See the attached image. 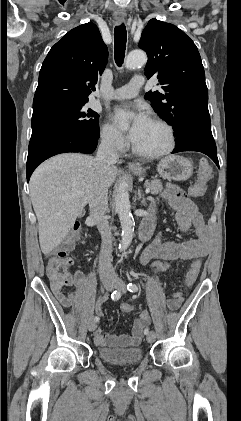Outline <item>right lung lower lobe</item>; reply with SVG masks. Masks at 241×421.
I'll list each match as a JSON object with an SVG mask.
<instances>
[{
  "label": "right lung lower lobe",
  "mask_w": 241,
  "mask_h": 421,
  "mask_svg": "<svg viewBox=\"0 0 241 421\" xmlns=\"http://www.w3.org/2000/svg\"><path fill=\"white\" fill-rule=\"evenodd\" d=\"M98 141L85 134L65 130H44L31 136L27 157V181L35 168L46 159L66 152L90 154L97 147Z\"/></svg>",
  "instance_id": "1"
}]
</instances>
